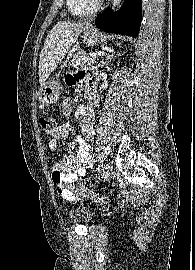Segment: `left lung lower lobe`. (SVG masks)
I'll use <instances>...</instances> for the list:
<instances>
[{"label": "left lung lower lobe", "instance_id": "left-lung-lower-lobe-1", "mask_svg": "<svg viewBox=\"0 0 195 270\" xmlns=\"http://www.w3.org/2000/svg\"><path fill=\"white\" fill-rule=\"evenodd\" d=\"M142 18L141 0H125L123 6L115 13L107 8L95 19V25L108 33L137 37Z\"/></svg>", "mask_w": 195, "mask_h": 270}]
</instances>
